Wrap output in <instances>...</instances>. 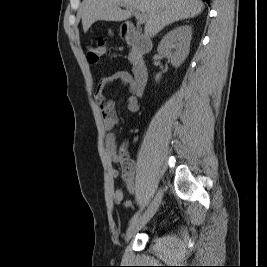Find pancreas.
I'll use <instances>...</instances> for the list:
<instances>
[{"label":"pancreas","mask_w":267,"mask_h":267,"mask_svg":"<svg viewBox=\"0 0 267 267\" xmlns=\"http://www.w3.org/2000/svg\"><path fill=\"white\" fill-rule=\"evenodd\" d=\"M138 56H139L138 50L134 48V49H131L128 59L131 63L134 64L136 60L138 59Z\"/></svg>","instance_id":"1"}]
</instances>
